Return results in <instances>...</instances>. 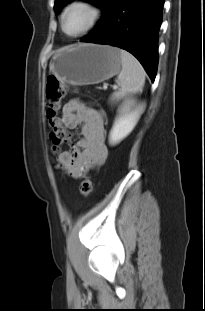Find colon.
I'll return each mask as SVG.
<instances>
[{"label": "colon", "instance_id": "1", "mask_svg": "<svg viewBox=\"0 0 205 311\" xmlns=\"http://www.w3.org/2000/svg\"><path fill=\"white\" fill-rule=\"evenodd\" d=\"M67 91V85L60 81L57 77L50 76L46 85V119L50 129V142L52 148L56 151L61 149L68 142L69 135L64 130L62 121L59 117L62 100ZM92 191V180L89 176L82 180L79 192L83 197L88 196Z\"/></svg>", "mask_w": 205, "mask_h": 311}]
</instances>
